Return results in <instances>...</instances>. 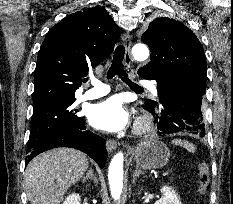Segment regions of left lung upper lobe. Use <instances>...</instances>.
I'll return each mask as SVG.
<instances>
[{
	"label": "left lung upper lobe",
	"instance_id": "obj_1",
	"mask_svg": "<svg viewBox=\"0 0 233 204\" xmlns=\"http://www.w3.org/2000/svg\"><path fill=\"white\" fill-rule=\"evenodd\" d=\"M141 40L151 50V61L138 70L142 78H152L158 70L182 76L206 89L207 69L204 51L196 35L184 24L167 17L154 19ZM145 105L157 106L147 100Z\"/></svg>",
	"mask_w": 233,
	"mask_h": 204
}]
</instances>
